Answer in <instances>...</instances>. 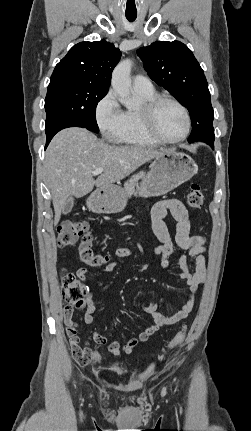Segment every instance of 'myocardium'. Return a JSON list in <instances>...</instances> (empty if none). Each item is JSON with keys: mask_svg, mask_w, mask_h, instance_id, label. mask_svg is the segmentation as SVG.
<instances>
[{"mask_svg": "<svg viewBox=\"0 0 251 431\" xmlns=\"http://www.w3.org/2000/svg\"><path fill=\"white\" fill-rule=\"evenodd\" d=\"M164 103H172L176 105L183 113L185 119V129L183 134L177 139H165L163 138L156 128L155 117L158 109ZM140 117L142 121L143 128L145 132L158 144L164 145H175L183 142L190 133L191 130V118L186 106L179 100L167 96V95H157L154 98L146 101L142 109L140 110Z\"/></svg>", "mask_w": 251, "mask_h": 431, "instance_id": "obj_1", "label": "myocardium"}]
</instances>
